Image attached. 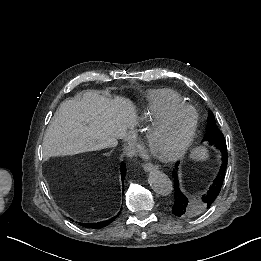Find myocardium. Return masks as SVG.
<instances>
[{"instance_id":"obj_1","label":"myocardium","mask_w":261,"mask_h":261,"mask_svg":"<svg viewBox=\"0 0 261 261\" xmlns=\"http://www.w3.org/2000/svg\"><path fill=\"white\" fill-rule=\"evenodd\" d=\"M176 111H185L190 114V123L183 143L177 150L168 154L159 155L151 152L146 144V138L150 128L156 123L160 122L166 116ZM198 120H199L198 113L193 107L186 104L169 105L156 114L148 115L142 118L138 124V131L141 140L143 141L144 145L146 146L151 156L163 162H170L180 158L182 155L186 153L194 138L198 125Z\"/></svg>"}]
</instances>
